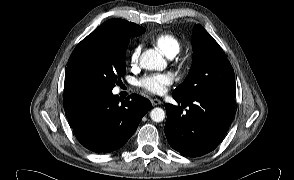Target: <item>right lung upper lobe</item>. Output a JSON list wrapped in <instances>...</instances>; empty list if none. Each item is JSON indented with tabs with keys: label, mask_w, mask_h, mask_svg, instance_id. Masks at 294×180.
I'll return each mask as SVG.
<instances>
[{
	"label": "right lung upper lobe",
	"mask_w": 294,
	"mask_h": 180,
	"mask_svg": "<svg viewBox=\"0 0 294 180\" xmlns=\"http://www.w3.org/2000/svg\"><path fill=\"white\" fill-rule=\"evenodd\" d=\"M145 28L123 19H111L104 22L87 37H100L106 35L138 36Z\"/></svg>",
	"instance_id": "1"
}]
</instances>
